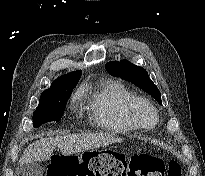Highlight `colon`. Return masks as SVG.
Wrapping results in <instances>:
<instances>
[{"label":"colon","mask_w":205,"mask_h":176,"mask_svg":"<svg viewBox=\"0 0 205 176\" xmlns=\"http://www.w3.org/2000/svg\"><path fill=\"white\" fill-rule=\"evenodd\" d=\"M181 166L171 160L168 167L162 159L149 153L125 159L108 151L75 154H54L48 176H181Z\"/></svg>","instance_id":"colon-1"}]
</instances>
